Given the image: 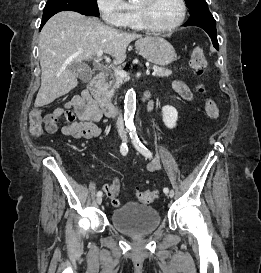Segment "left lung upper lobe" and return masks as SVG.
I'll use <instances>...</instances> for the list:
<instances>
[{"label":"left lung upper lobe","instance_id":"5c2ea615","mask_svg":"<svg viewBox=\"0 0 261 273\" xmlns=\"http://www.w3.org/2000/svg\"><path fill=\"white\" fill-rule=\"evenodd\" d=\"M185 2L190 10V14H193L201 9L208 8L205 0H185Z\"/></svg>","mask_w":261,"mask_h":273}]
</instances>
